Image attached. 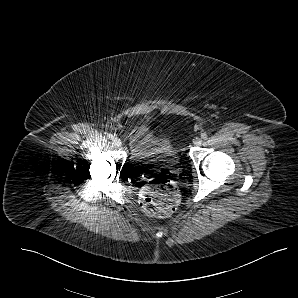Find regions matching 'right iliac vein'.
<instances>
[{"label": "right iliac vein", "mask_w": 298, "mask_h": 298, "mask_svg": "<svg viewBox=\"0 0 298 298\" xmlns=\"http://www.w3.org/2000/svg\"><path fill=\"white\" fill-rule=\"evenodd\" d=\"M113 142H114V144L116 145V146H121L122 145V141L120 140V139H118V138H115L114 140H113Z\"/></svg>", "instance_id": "right-iliac-vein-1"}]
</instances>
